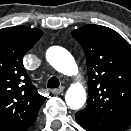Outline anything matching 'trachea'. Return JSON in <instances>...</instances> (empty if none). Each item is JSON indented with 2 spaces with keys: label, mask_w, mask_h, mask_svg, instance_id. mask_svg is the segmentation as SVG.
I'll list each match as a JSON object with an SVG mask.
<instances>
[{
  "label": "trachea",
  "mask_w": 131,
  "mask_h": 131,
  "mask_svg": "<svg viewBox=\"0 0 131 131\" xmlns=\"http://www.w3.org/2000/svg\"><path fill=\"white\" fill-rule=\"evenodd\" d=\"M60 85L59 79L57 77H51L48 81V88H58Z\"/></svg>",
  "instance_id": "trachea-1"
}]
</instances>
